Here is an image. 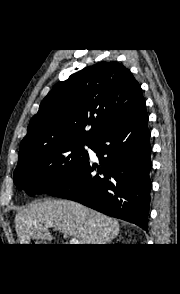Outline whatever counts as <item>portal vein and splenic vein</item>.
Segmentation results:
<instances>
[{"label": "portal vein and splenic vein", "instance_id": "1", "mask_svg": "<svg viewBox=\"0 0 180 294\" xmlns=\"http://www.w3.org/2000/svg\"><path fill=\"white\" fill-rule=\"evenodd\" d=\"M46 226H47V227H53L54 224L51 223V222H48V223L46 224ZM70 244H72V245H77V244H79V241H78L77 238H72V239H70Z\"/></svg>", "mask_w": 180, "mask_h": 294}]
</instances>
